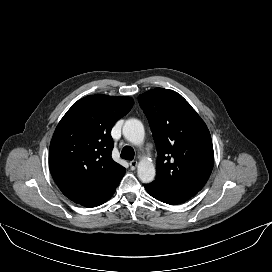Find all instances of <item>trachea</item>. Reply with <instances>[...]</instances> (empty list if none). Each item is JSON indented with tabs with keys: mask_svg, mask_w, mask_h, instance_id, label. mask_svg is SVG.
Wrapping results in <instances>:
<instances>
[{
	"mask_svg": "<svg viewBox=\"0 0 272 272\" xmlns=\"http://www.w3.org/2000/svg\"><path fill=\"white\" fill-rule=\"evenodd\" d=\"M135 155L134 149L130 146H125L121 151V158L125 160H133Z\"/></svg>",
	"mask_w": 272,
	"mask_h": 272,
	"instance_id": "obj_1",
	"label": "trachea"
}]
</instances>
